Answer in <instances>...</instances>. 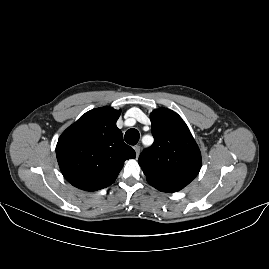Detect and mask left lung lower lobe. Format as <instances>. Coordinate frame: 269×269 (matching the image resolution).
<instances>
[{"instance_id": "0a47b994", "label": "left lung lower lobe", "mask_w": 269, "mask_h": 269, "mask_svg": "<svg viewBox=\"0 0 269 269\" xmlns=\"http://www.w3.org/2000/svg\"><path fill=\"white\" fill-rule=\"evenodd\" d=\"M156 189L163 191V192H176L182 189V187L178 186H166V185H160V184H151Z\"/></svg>"}]
</instances>
